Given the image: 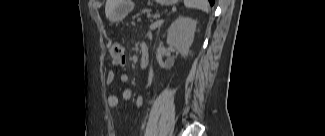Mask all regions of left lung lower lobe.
<instances>
[{
  "mask_svg": "<svg viewBox=\"0 0 325 136\" xmlns=\"http://www.w3.org/2000/svg\"><path fill=\"white\" fill-rule=\"evenodd\" d=\"M210 4L213 5L214 4V0H209Z\"/></svg>",
  "mask_w": 325,
  "mask_h": 136,
  "instance_id": "left-lung-lower-lobe-1",
  "label": "left lung lower lobe"
}]
</instances>
